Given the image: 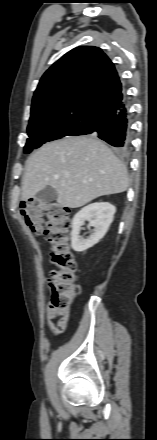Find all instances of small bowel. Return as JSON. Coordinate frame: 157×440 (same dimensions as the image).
Returning <instances> with one entry per match:
<instances>
[{"label":"small bowel","mask_w":157,"mask_h":440,"mask_svg":"<svg viewBox=\"0 0 157 440\" xmlns=\"http://www.w3.org/2000/svg\"><path fill=\"white\" fill-rule=\"evenodd\" d=\"M55 317L56 316L51 312L49 307H47V309H46V318H45V322H46L47 327L54 334H59V333L64 332L66 327H67L68 317H61L57 321V324L54 325L53 322H52V319L55 318Z\"/></svg>","instance_id":"small-bowel-1"}]
</instances>
